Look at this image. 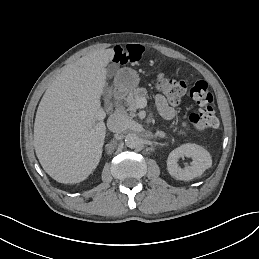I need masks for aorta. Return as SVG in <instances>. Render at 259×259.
<instances>
[{
  "instance_id": "762f6f07",
  "label": "aorta",
  "mask_w": 259,
  "mask_h": 259,
  "mask_svg": "<svg viewBox=\"0 0 259 259\" xmlns=\"http://www.w3.org/2000/svg\"><path fill=\"white\" fill-rule=\"evenodd\" d=\"M141 143V139L135 133H129L125 137V144L129 148H137Z\"/></svg>"
}]
</instances>
